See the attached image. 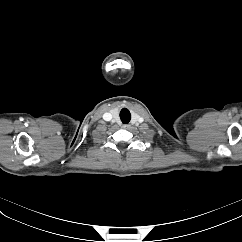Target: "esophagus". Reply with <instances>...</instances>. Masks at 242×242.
<instances>
[{
  "label": "esophagus",
  "mask_w": 242,
  "mask_h": 242,
  "mask_svg": "<svg viewBox=\"0 0 242 242\" xmlns=\"http://www.w3.org/2000/svg\"><path fill=\"white\" fill-rule=\"evenodd\" d=\"M129 127H130V126L127 125V124L123 125V128H125V129H128Z\"/></svg>",
  "instance_id": "1"
}]
</instances>
